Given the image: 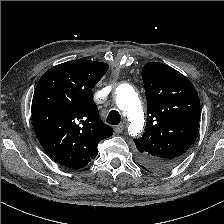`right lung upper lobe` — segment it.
<instances>
[{"instance_id": "obj_1", "label": "right lung upper lobe", "mask_w": 224, "mask_h": 224, "mask_svg": "<svg viewBox=\"0 0 224 224\" xmlns=\"http://www.w3.org/2000/svg\"><path fill=\"white\" fill-rule=\"evenodd\" d=\"M108 64L73 60L50 68L40 78L32 100V119L45 152L68 168H82L97 154L98 143L113 129L104 124L92 89Z\"/></svg>"}]
</instances>
